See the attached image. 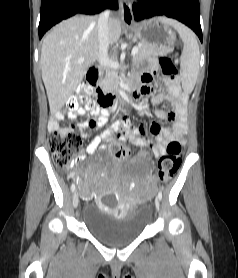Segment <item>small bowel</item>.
Instances as JSON below:
<instances>
[{"label": "small bowel", "mask_w": 238, "mask_h": 278, "mask_svg": "<svg viewBox=\"0 0 238 278\" xmlns=\"http://www.w3.org/2000/svg\"><path fill=\"white\" fill-rule=\"evenodd\" d=\"M157 70V62L151 61V70L142 73L138 76L133 84H140L138 92L135 94L139 97L144 94L150 93L154 86L152 84L153 76ZM167 91L165 94H157L152 98V104L158 106L164 100H167L172 105V110L165 111L159 108L155 109V114L158 118L173 122V128H162L156 123L150 125V132L155 138L147 137V129L144 124L136 126L134 125L127 114H124L115 121L109 128L103 131L100 135L96 133L106 124L109 116V111L106 108H96L89 114L86 121L78 124L79 129L82 131V137H92L90 143L86 147V153L93 155L98 149H104V144L110 143L115 139L120 141H128L129 143L151 150L155 157H159L164 154L165 146L172 141L179 143H185L187 133L186 122V102L187 97L181 91L180 86L176 80H167ZM78 114H82L81 110L70 111L68 117L75 119ZM64 114L56 112L49 120V129L66 131L68 128H61L59 122L63 119ZM84 154L79 156L80 160L84 159ZM147 180L152 182V177L147 176Z\"/></svg>", "instance_id": "1"}]
</instances>
